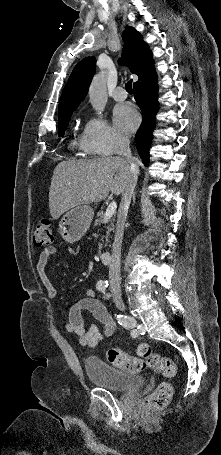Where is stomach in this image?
Instances as JSON below:
<instances>
[{
    "mask_svg": "<svg viewBox=\"0 0 221 455\" xmlns=\"http://www.w3.org/2000/svg\"><path fill=\"white\" fill-rule=\"evenodd\" d=\"M94 210L86 204L71 208L59 222V234L67 243L78 242L90 227Z\"/></svg>",
    "mask_w": 221,
    "mask_h": 455,
    "instance_id": "stomach-1",
    "label": "stomach"
}]
</instances>
